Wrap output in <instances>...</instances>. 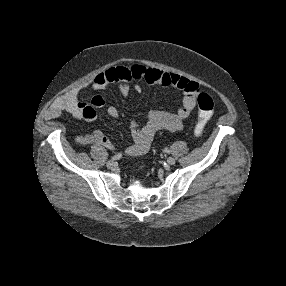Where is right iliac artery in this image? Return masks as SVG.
Returning <instances> with one entry per match:
<instances>
[{"label": "right iliac artery", "instance_id": "82829eb1", "mask_svg": "<svg viewBox=\"0 0 286 286\" xmlns=\"http://www.w3.org/2000/svg\"><path fill=\"white\" fill-rule=\"evenodd\" d=\"M123 157V154L122 153H118L117 155L113 156L111 159L112 160H117L119 158H122Z\"/></svg>", "mask_w": 286, "mask_h": 286}]
</instances>
